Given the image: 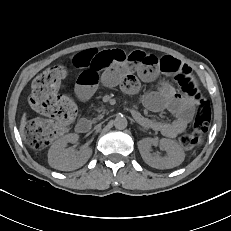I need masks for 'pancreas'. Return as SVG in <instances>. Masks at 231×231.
Segmentation results:
<instances>
[{"mask_svg":"<svg viewBox=\"0 0 231 231\" xmlns=\"http://www.w3.org/2000/svg\"><path fill=\"white\" fill-rule=\"evenodd\" d=\"M102 117H103V115H102V114L98 115V119H101Z\"/></svg>","mask_w":231,"mask_h":231,"instance_id":"pancreas-1","label":"pancreas"}]
</instances>
